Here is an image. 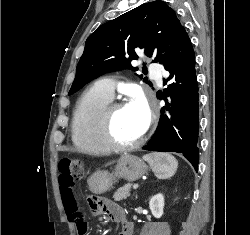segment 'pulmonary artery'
Segmentation results:
<instances>
[{
  "mask_svg": "<svg viewBox=\"0 0 250 235\" xmlns=\"http://www.w3.org/2000/svg\"><path fill=\"white\" fill-rule=\"evenodd\" d=\"M151 76L161 84V70L156 67V65H151L150 67ZM96 88L109 97H113L115 90V82L111 78H103L95 83Z\"/></svg>",
  "mask_w": 250,
  "mask_h": 235,
  "instance_id": "pulmonary-artery-1",
  "label": "pulmonary artery"
}]
</instances>
